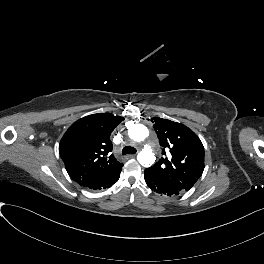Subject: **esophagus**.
I'll list each match as a JSON object with an SVG mask.
<instances>
[{
  "label": "esophagus",
  "mask_w": 264,
  "mask_h": 264,
  "mask_svg": "<svg viewBox=\"0 0 264 264\" xmlns=\"http://www.w3.org/2000/svg\"><path fill=\"white\" fill-rule=\"evenodd\" d=\"M135 157H136L135 154H130V155L127 156V158H135Z\"/></svg>",
  "instance_id": "obj_1"
}]
</instances>
